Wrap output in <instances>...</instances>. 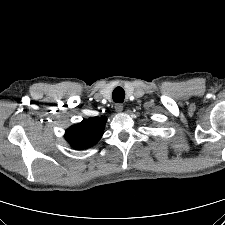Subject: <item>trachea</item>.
<instances>
[{"label": "trachea", "mask_w": 225, "mask_h": 225, "mask_svg": "<svg viewBox=\"0 0 225 225\" xmlns=\"http://www.w3.org/2000/svg\"><path fill=\"white\" fill-rule=\"evenodd\" d=\"M112 98L114 102L122 103L125 98V91L122 87H116L113 90Z\"/></svg>", "instance_id": "3493384b"}]
</instances>
